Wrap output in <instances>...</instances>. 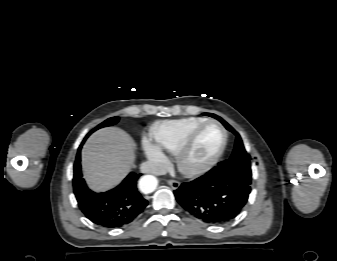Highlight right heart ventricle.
Here are the masks:
<instances>
[{
  "instance_id": "1",
  "label": "right heart ventricle",
  "mask_w": 337,
  "mask_h": 261,
  "mask_svg": "<svg viewBox=\"0 0 337 261\" xmlns=\"http://www.w3.org/2000/svg\"><path fill=\"white\" fill-rule=\"evenodd\" d=\"M204 121L201 117L158 121L152 125L150 135L159 150L175 154L188 133Z\"/></svg>"
}]
</instances>
